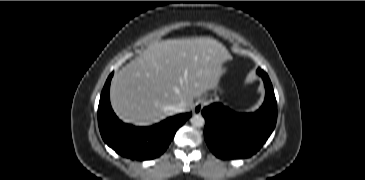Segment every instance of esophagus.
<instances>
[{
    "mask_svg": "<svg viewBox=\"0 0 365 180\" xmlns=\"http://www.w3.org/2000/svg\"><path fill=\"white\" fill-rule=\"evenodd\" d=\"M204 106H205L204 101L196 102V104L193 106V113L194 114H200Z\"/></svg>",
    "mask_w": 365,
    "mask_h": 180,
    "instance_id": "34e87169",
    "label": "esophagus"
}]
</instances>
